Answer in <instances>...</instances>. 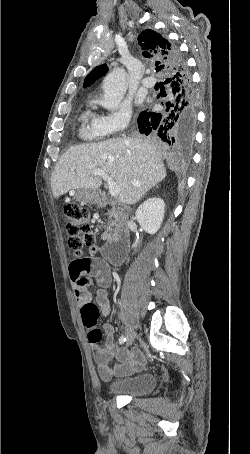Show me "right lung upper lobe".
<instances>
[{
	"mask_svg": "<svg viewBox=\"0 0 250 454\" xmlns=\"http://www.w3.org/2000/svg\"><path fill=\"white\" fill-rule=\"evenodd\" d=\"M138 44L143 50L144 57L156 61V71H160L164 76L171 71L173 66L169 53L170 42L167 39L159 33L147 29L138 36ZM107 72L108 67L105 64L97 66L86 76L84 87L90 86Z\"/></svg>",
	"mask_w": 250,
	"mask_h": 454,
	"instance_id": "cb5924a9",
	"label": "right lung upper lobe"
}]
</instances>
